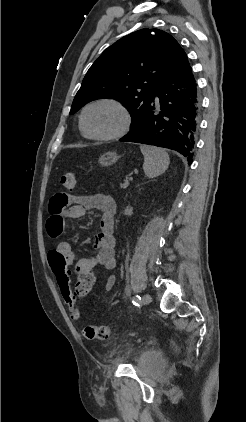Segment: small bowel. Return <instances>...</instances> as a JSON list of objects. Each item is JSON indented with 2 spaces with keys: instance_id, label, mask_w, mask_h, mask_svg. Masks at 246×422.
I'll return each instance as SVG.
<instances>
[{
  "instance_id": "c3829d8e",
  "label": "small bowel",
  "mask_w": 246,
  "mask_h": 422,
  "mask_svg": "<svg viewBox=\"0 0 246 422\" xmlns=\"http://www.w3.org/2000/svg\"><path fill=\"white\" fill-rule=\"evenodd\" d=\"M87 210L101 212L100 232L93 243L96 254L90 258H77L72 246L66 241H60L55 248L65 256L69 265L74 264L77 274L94 270L98 266L106 269L115 267L114 216L116 202L111 196L104 194L75 196L57 193L50 200L47 232L51 238H58L62 234L67 219H79ZM115 283L116 277L110 275L105 282V290H112Z\"/></svg>"
}]
</instances>
